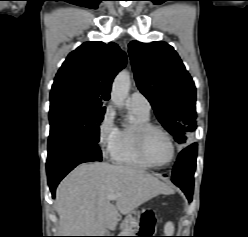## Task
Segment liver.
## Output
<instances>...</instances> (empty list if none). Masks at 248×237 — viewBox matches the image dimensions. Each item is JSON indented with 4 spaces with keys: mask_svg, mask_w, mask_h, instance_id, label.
Segmentation results:
<instances>
[{
    "mask_svg": "<svg viewBox=\"0 0 248 237\" xmlns=\"http://www.w3.org/2000/svg\"><path fill=\"white\" fill-rule=\"evenodd\" d=\"M173 190L143 170L105 162L81 164L56 190L55 208L61 236H104L115 230L119 213L129 214L144 202ZM119 195L116 204L107 196Z\"/></svg>",
    "mask_w": 248,
    "mask_h": 237,
    "instance_id": "6515ba94",
    "label": "liver"
}]
</instances>
